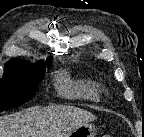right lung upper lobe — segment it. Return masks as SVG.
Returning a JSON list of instances; mask_svg holds the SVG:
<instances>
[{
    "instance_id": "obj_1",
    "label": "right lung upper lobe",
    "mask_w": 144,
    "mask_h": 137,
    "mask_svg": "<svg viewBox=\"0 0 144 137\" xmlns=\"http://www.w3.org/2000/svg\"><path fill=\"white\" fill-rule=\"evenodd\" d=\"M51 59L48 58L46 60V63L47 62H50ZM46 63H43V62H38L36 64H30L29 62L25 61V60H22V59H12L10 61H8L6 64H5V67H12V66H40V65H44Z\"/></svg>"
}]
</instances>
